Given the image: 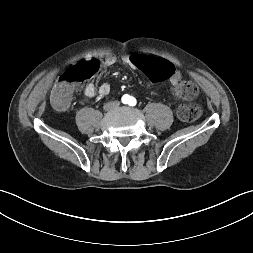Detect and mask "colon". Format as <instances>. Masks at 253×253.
<instances>
[{
	"label": "colon",
	"instance_id": "1",
	"mask_svg": "<svg viewBox=\"0 0 253 253\" xmlns=\"http://www.w3.org/2000/svg\"><path fill=\"white\" fill-rule=\"evenodd\" d=\"M133 62L143 69L152 79L158 80L174 72V67L166 62L160 61L158 57L149 53H136L132 57ZM100 63L96 59L80 62L68 69L57 81L52 90V100L59 109H65L70 102L72 85L79 81L93 77ZM175 94L181 98L190 99L196 96L197 86L190 81H181L175 86ZM201 115V108L198 104H183L178 108V116L182 121L192 122Z\"/></svg>",
	"mask_w": 253,
	"mask_h": 253
}]
</instances>
